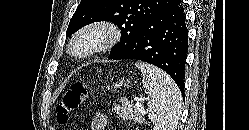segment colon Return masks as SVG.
Wrapping results in <instances>:
<instances>
[{
    "label": "colon",
    "mask_w": 249,
    "mask_h": 130,
    "mask_svg": "<svg viewBox=\"0 0 249 130\" xmlns=\"http://www.w3.org/2000/svg\"><path fill=\"white\" fill-rule=\"evenodd\" d=\"M89 90L90 86L86 82L79 81L70 85L56 107L59 124L67 123L70 114L79 108Z\"/></svg>",
    "instance_id": "obj_1"
}]
</instances>
